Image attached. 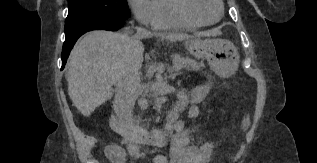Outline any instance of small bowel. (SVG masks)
I'll return each mask as SVG.
<instances>
[{
    "label": "small bowel",
    "mask_w": 317,
    "mask_h": 163,
    "mask_svg": "<svg viewBox=\"0 0 317 163\" xmlns=\"http://www.w3.org/2000/svg\"><path fill=\"white\" fill-rule=\"evenodd\" d=\"M207 85L197 86L189 91L181 92L171 113L178 114L184 107H188L189 118H196L199 114L198 104L207 95ZM177 119V117H176ZM175 135L169 142L170 160L163 155H157L149 159V163H209L213 146L204 142L199 145L192 143L193 132L185 129L182 121L175 122ZM143 152L138 145L128 146L127 151L123 149L120 156H112L107 148V157L112 163H126L128 157L143 158Z\"/></svg>",
    "instance_id": "obj_1"
}]
</instances>
